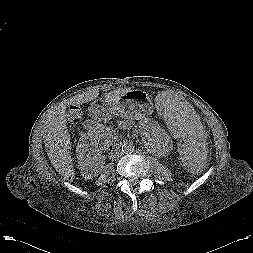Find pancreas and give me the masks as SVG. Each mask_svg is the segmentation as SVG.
Here are the masks:
<instances>
[{"instance_id": "1", "label": "pancreas", "mask_w": 253, "mask_h": 253, "mask_svg": "<svg viewBox=\"0 0 253 253\" xmlns=\"http://www.w3.org/2000/svg\"><path fill=\"white\" fill-rule=\"evenodd\" d=\"M147 119L141 120V123H143L144 121H146Z\"/></svg>"}]
</instances>
